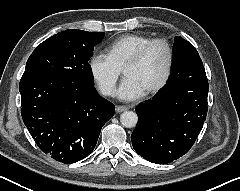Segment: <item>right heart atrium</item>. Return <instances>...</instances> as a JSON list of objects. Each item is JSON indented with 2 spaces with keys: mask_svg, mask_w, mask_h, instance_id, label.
I'll return each instance as SVG.
<instances>
[{
  "mask_svg": "<svg viewBox=\"0 0 240 191\" xmlns=\"http://www.w3.org/2000/svg\"><path fill=\"white\" fill-rule=\"evenodd\" d=\"M90 75L100 92L105 96L113 95L121 70L108 55L94 53L88 63Z\"/></svg>",
  "mask_w": 240,
  "mask_h": 191,
  "instance_id": "1",
  "label": "right heart atrium"
}]
</instances>
